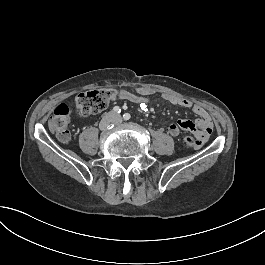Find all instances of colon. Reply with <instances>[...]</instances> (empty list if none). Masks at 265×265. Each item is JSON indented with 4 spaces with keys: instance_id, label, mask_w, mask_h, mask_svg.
Masks as SVG:
<instances>
[{
    "instance_id": "colon-1",
    "label": "colon",
    "mask_w": 265,
    "mask_h": 265,
    "mask_svg": "<svg viewBox=\"0 0 265 265\" xmlns=\"http://www.w3.org/2000/svg\"><path fill=\"white\" fill-rule=\"evenodd\" d=\"M118 92L112 88L91 89L80 93L73 102L75 112L80 116H87L106 109L117 98ZM71 110L65 104L58 106L48 119L51 131L62 141L70 137L67 128ZM189 131V130H188ZM184 142L189 149H193L195 140L186 136Z\"/></svg>"
}]
</instances>
